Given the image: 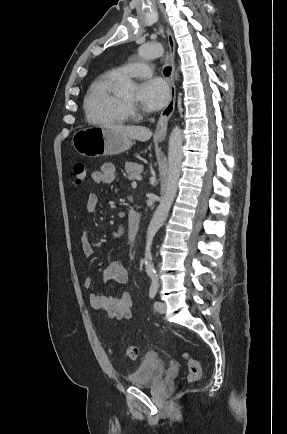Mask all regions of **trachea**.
<instances>
[{
    "label": "trachea",
    "instance_id": "3493384b",
    "mask_svg": "<svg viewBox=\"0 0 287 434\" xmlns=\"http://www.w3.org/2000/svg\"><path fill=\"white\" fill-rule=\"evenodd\" d=\"M172 68L171 67H165L164 68V75L169 76L171 74Z\"/></svg>",
    "mask_w": 287,
    "mask_h": 434
}]
</instances>
